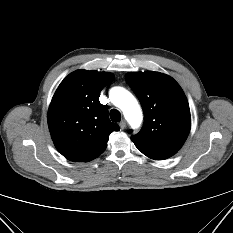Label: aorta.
Returning <instances> with one entry per match:
<instances>
[{"instance_id":"762f6f07","label":"aorta","mask_w":233,"mask_h":233,"mask_svg":"<svg viewBox=\"0 0 233 233\" xmlns=\"http://www.w3.org/2000/svg\"><path fill=\"white\" fill-rule=\"evenodd\" d=\"M111 102L120 108L132 128L142 122V112L135 97L122 87H113L109 92Z\"/></svg>"}]
</instances>
